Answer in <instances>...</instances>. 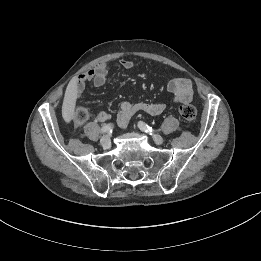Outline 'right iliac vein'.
I'll list each match as a JSON object with an SVG mask.
<instances>
[{
  "instance_id": "63e3f726",
  "label": "right iliac vein",
  "mask_w": 261,
  "mask_h": 261,
  "mask_svg": "<svg viewBox=\"0 0 261 261\" xmlns=\"http://www.w3.org/2000/svg\"><path fill=\"white\" fill-rule=\"evenodd\" d=\"M100 144L104 147V148H108L111 144L110 138L108 135H104L101 139H100Z\"/></svg>"
}]
</instances>
